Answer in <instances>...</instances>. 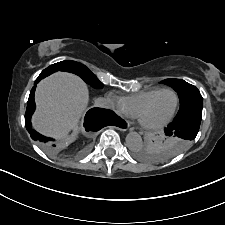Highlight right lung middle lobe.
I'll return each instance as SVG.
<instances>
[{
	"label": "right lung middle lobe",
	"instance_id": "right-lung-middle-lobe-1",
	"mask_svg": "<svg viewBox=\"0 0 225 225\" xmlns=\"http://www.w3.org/2000/svg\"><path fill=\"white\" fill-rule=\"evenodd\" d=\"M45 71H66L77 74L90 86L101 89L104 85L98 80V78L83 64L66 60L50 65Z\"/></svg>",
	"mask_w": 225,
	"mask_h": 225
}]
</instances>
